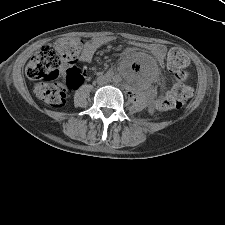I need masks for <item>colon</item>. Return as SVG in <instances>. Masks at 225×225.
<instances>
[{
	"label": "colon",
	"instance_id": "1",
	"mask_svg": "<svg viewBox=\"0 0 225 225\" xmlns=\"http://www.w3.org/2000/svg\"><path fill=\"white\" fill-rule=\"evenodd\" d=\"M81 47L80 38L61 37L54 43L43 45L27 64V77L39 81L34 86V95L46 105L62 107L66 102L68 89L77 88L84 82V72L75 67ZM188 63L183 51L174 49L169 52L167 67L175 74L176 83L157 99L158 110L178 109L190 98L192 91L186 84ZM60 71L64 72V82L55 81Z\"/></svg>",
	"mask_w": 225,
	"mask_h": 225
}]
</instances>
